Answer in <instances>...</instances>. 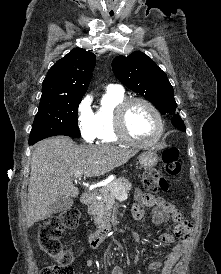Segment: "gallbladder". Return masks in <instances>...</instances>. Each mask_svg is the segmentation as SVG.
<instances>
[{"label":"gallbladder","instance_id":"bac80fb5","mask_svg":"<svg viewBox=\"0 0 221 274\" xmlns=\"http://www.w3.org/2000/svg\"><path fill=\"white\" fill-rule=\"evenodd\" d=\"M72 204H73V199L71 197H61L60 199H58L57 202L51 204L49 206V209L53 213H58V212L67 210L68 208L72 206Z\"/></svg>","mask_w":221,"mask_h":274}]
</instances>
